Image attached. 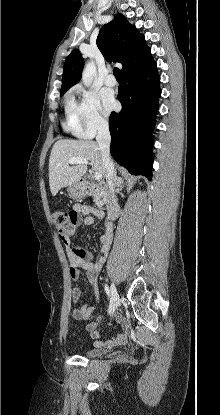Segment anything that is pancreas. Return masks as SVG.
Masks as SVG:
<instances>
[{"mask_svg":"<svg viewBox=\"0 0 220 415\" xmlns=\"http://www.w3.org/2000/svg\"><path fill=\"white\" fill-rule=\"evenodd\" d=\"M91 193H92V196L94 198L95 204L99 208H101L104 204H106L107 197H108L106 189L92 187L91 188Z\"/></svg>","mask_w":220,"mask_h":415,"instance_id":"obj_1","label":"pancreas"}]
</instances>
